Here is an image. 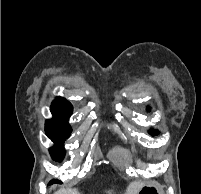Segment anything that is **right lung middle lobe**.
I'll use <instances>...</instances> for the list:
<instances>
[{
	"label": "right lung middle lobe",
	"instance_id": "dd1d6c3e",
	"mask_svg": "<svg viewBox=\"0 0 201 194\" xmlns=\"http://www.w3.org/2000/svg\"><path fill=\"white\" fill-rule=\"evenodd\" d=\"M54 119L47 120L45 123L46 135L55 143V146L50 149L52 158L56 161H61L65 155L63 143L65 138L70 136L72 128L68 124V115L63 114L56 110H51ZM52 183H60L57 180L51 181Z\"/></svg>",
	"mask_w": 201,
	"mask_h": 194
}]
</instances>
